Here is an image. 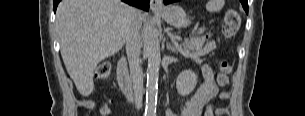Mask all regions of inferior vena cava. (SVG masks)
<instances>
[{"label": "inferior vena cava", "mask_w": 305, "mask_h": 116, "mask_svg": "<svg viewBox=\"0 0 305 116\" xmlns=\"http://www.w3.org/2000/svg\"><path fill=\"white\" fill-rule=\"evenodd\" d=\"M141 21L135 18L129 23L126 32V53L129 62L130 74L133 83L135 105L139 110L143 98V72L141 68Z\"/></svg>", "instance_id": "1"}]
</instances>
